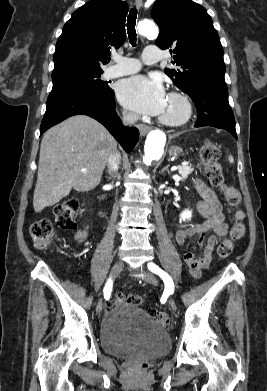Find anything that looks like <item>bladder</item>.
I'll use <instances>...</instances> for the list:
<instances>
[{
  "mask_svg": "<svg viewBox=\"0 0 267 391\" xmlns=\"http://www.w3.org/2000/svg\"><path fill=\"white\" fill-rule=\"evenodd\" d=\"M104 352L121 357L154 358L171 345L169 333L139 307L120 303L108 310L100 324Z\"/></svg>",
  "mask_w": 267,
  "mask_h": 391,
  "instance_id": "obj_1",
  "label": "bladder"
}]
</instances>
